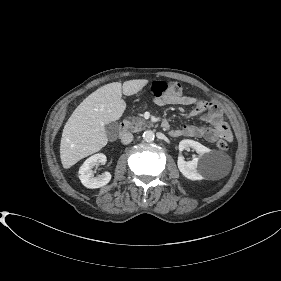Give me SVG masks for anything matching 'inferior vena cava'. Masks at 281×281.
Instances as JSON below:
<instances>
[{"mask_svg":"<svg viewBox=\"0 0 281 281\" xmlns=\"http://www.w3.org/2000/svg\"><path fill=\"white\" fill-rule=\"evenodd\" d=\"M120 138H121V142L126 145V144H129L132 142L133 135H132V133L128 132V133L122 134Z\"/></svg>","mask_w":281,"mask_h":281,"instance_id":"1","label":"inferior vena cava"}]
</instances>
